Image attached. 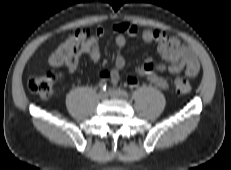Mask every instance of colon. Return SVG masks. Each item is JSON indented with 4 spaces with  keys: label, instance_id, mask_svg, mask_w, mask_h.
<instances>
[{
    "label": "colon",
    "instance_id": "obj_1",
    "mask_svg": "<svg viewBox=\"0 0 231 170\" xmlns=\"http://www.w3.org/2000/svg\"><path fill=\"white\" fill-rule=\"evenodd\" d=\"M90 36L88 30H77L66 40L61 42L49 57L52 66L67 65L80 45ZM56 76L46 72L29 80L28 89L43 100H49L53 95ZM172 89L179 95L187 94L191 90L189 81L182 75H177L173 81Z\"/></svg>",
    "mask_w": 231,
    "mask_h": 170
}]
</instances>
